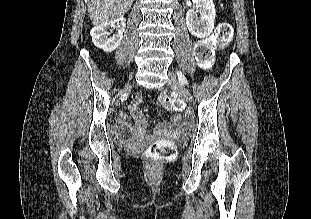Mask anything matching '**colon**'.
Masks as SVG:
<instances>
[{
  "label": "colon",
  "mask_w": 311,
  "mask_h": 219,
  "mask_svg": "<svg viewBox=\"0 0 311 219\" xmlns=\"http://www.w3.org/2000/svg\"><path fill=\"white\" fill-rule=\"evenodd\" d=\"M232 38V28L229 23H219L213 34L206 39L199 41L195 46V56L199 63L210 64L213 59L214 49H224ZM162 104L169 110L179 107L177 101L164 95ZM122 130L121 132H124ZM175 145L169 140H157L147 148L145 155L153 163H159L171 159L175 155Z\"/></svg>",
  "instance_id": "colon-1"
}]
</instances>
